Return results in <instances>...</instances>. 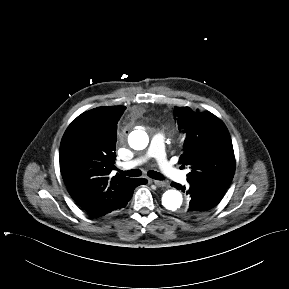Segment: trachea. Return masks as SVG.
Here are the masks:
<instances>
[{"label": "trachea", "mask_w": 289, "mask_h": 289, "mask_svg": "<svg viewBox=\"0 0 289 289\" xmlns=\"http://www.w3.org/2000/svg\"><path fill=\"white\" fill-rule=\"evenodd\" d=\"M119 172L122 174V175H126V176H129V177H138L141 175V171L138 170V169H132V170H128V171H122V170H119ZM148 175L149 177L155 179V180H163V175L161 173H158L156 171H149L148 172Z\"/></svg>", "instance_id": "trachea-1"}]
</instances>
